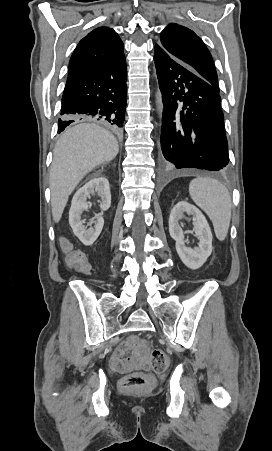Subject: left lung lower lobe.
I'll use <instances>...</instances> for the list:
<instances>
[{
    "instance_id": "left-lung-lower-lobe-1",
    "label": "left lung lower lobe",
    "mask_w": 272,
    "mask_h": 451,
    "mask_svg": "<svg viewBox=\"0 0 272 451\" xmlns=\"http://www.w3.org/2000/svg\"><path fill=\"white\" fill-rule=\"evenodd\" d=\"M154 61L164 105L163 166L224 170L229 156L219 91L160 44L155 45Z\"/></svg>"
}]
</instances>
